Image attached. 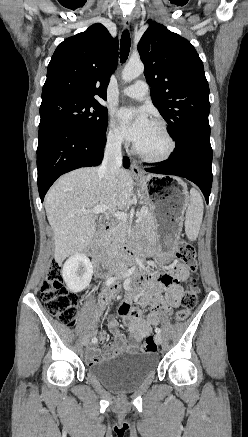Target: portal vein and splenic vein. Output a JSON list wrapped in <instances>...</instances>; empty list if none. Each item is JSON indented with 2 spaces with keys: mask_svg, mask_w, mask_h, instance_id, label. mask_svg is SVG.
Instances as JSON below:
<instances>
[{
  "mask_svg": "<svg viewBox=\"0 0 248 437\" xmlns=\"http://www.w3.org/2000/svg\"><path fill=\"white\" fill-rule=\"evenodd\" d=\"M109 209H110L109 207H107L105 205H101V206L95 207L92 210H81L80 212L83 214H89V213L99 214V213H104ZM147 212H148V208L145 206L142 207L141 214H140L141 217H142V215L146 214ZM112 213L118 220L126 222L127 214H125L124 212H119V211L115 212V210H112ZM141 217L137 220L138 222L141 220Z\"/></svg>",
  "mask_w": 248,
  "mask_h": 437,
  "instance_id": "portal-vein-and-splenic-vein-1",
  "label": "portal vein and splenic vein"
}]
</instances>
